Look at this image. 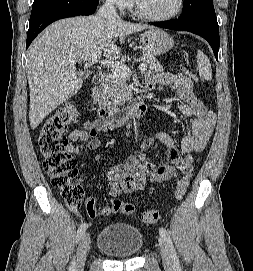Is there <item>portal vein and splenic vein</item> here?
I'll use <instances>...</instances> for the list:
<instances>
[{
	"label": "portal vein and splenic vein",
	"instance_id": "1",
	"mask_svg": "<svg viewBox=\"0 0 253 271\" xmlns=\"http://www.w3.org/2000/svg\"><path fill=\"white\" fill-rule=\"evenodd\" d=\"M101 52H95L91 55V57L88 59L89 62L91 63H100L104 66L110 67L111 69H113L115 72H117L118 74H120L123 77H127L128 75H130L131 70L129 67H127L126 65H124L123 63L120 62H114L111 60H101ZM139 69L141 71H145L147 69V66L145 64H140L139 65Z\"/></svg>",
	"mask_w": 253,
	"mask_h": 271
}]
</instances>
